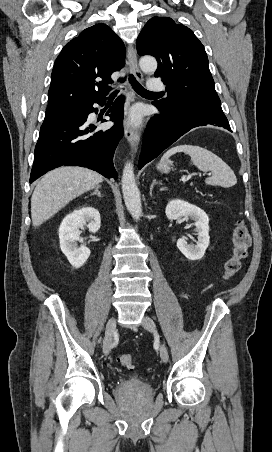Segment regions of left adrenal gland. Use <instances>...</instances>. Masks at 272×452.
Segmentation results:
<instances>
[{"label":"left adrenal gland","instance_id":"left-adrenal-gland-1","mask_svg":"<svg viewBox=\"0 0 272 452\" xmlns=\"http://www.w3.org/2000/svg\"><path fill=\"white\" fill-rule=\"evenodd\" d=\"M161 184H162L161 182H157L156 180H153V181H152L151 186H150V195H151V196H152L153 187H154L155 185H161Z\"/></svg>","mask_w":272,"mask_h":452}]
</instances>
